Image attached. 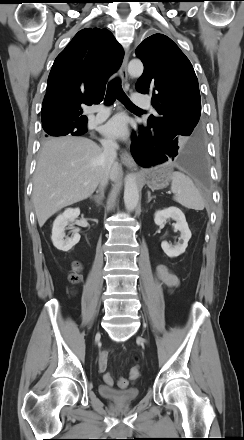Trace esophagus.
I'll return each instance as SVG.
<instances>
[{
  "label": "esophagus",
  "mask_w": 244,
  "mask_h": 440,
  "mask_svg": "<svg viewBox=\"0 0 244 440\" xmlns=\"http://www.w3.org/2000/svg\"><path fill=\"white\" fill-rule=\"evenodd\" d=\"M129 50L126 51L121 68H120V76L123 82H126L128 79V72H127V65L129 60ZM120 160L121 162L129 167H134L135 163L131 155L127 151H122L120 153Z\"/></svg>",
  "instance_id": "obj_1"
}]
</instances>
